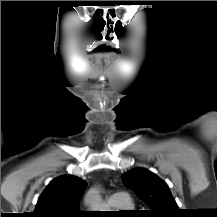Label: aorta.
Listing matches in <instances>:
<instances>
[{"label":"aorta","mask_w":217,"mask_h":217,"mask_svg":"<svg viewBox=\"0 0 217 217\" xmlns=\"http://www.w3.org/2000/svg\"><path fill=\"white\" fill-rule=\"evenodd\" d=\"M85 202L93 211H106L107 206L102 201L100 192L97 188H92L85 196Z\"/></svg>","instance_id":"1"}]
</instances>
